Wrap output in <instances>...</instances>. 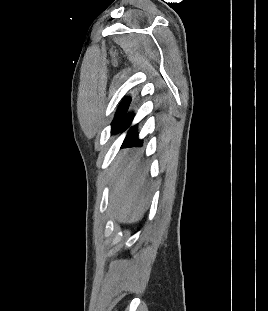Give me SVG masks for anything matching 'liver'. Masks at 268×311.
<instances>
[{
    "label": "liver",
    "instance_id": "obj_1",
    "mask_svg": "<svg viewBox=\"0 0 268 311\" xmlns=\"http://www.w3.org/2000/svg\"><path fill=\"white\" fill-rule=\"evenodd\" d=\"M148 183L140 158H119L112 174L110 200L115 218L121 223H136L142 219L148 203Z\"/></svg>",
    "mask_w": 268,
    "mask_h": 311
}]
</instances>
